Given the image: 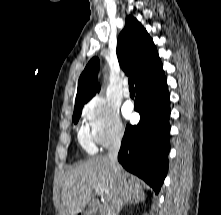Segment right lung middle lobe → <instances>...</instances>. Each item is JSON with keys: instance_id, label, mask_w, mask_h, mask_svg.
Returning <instances> with one entry per match:
<instances>
[{"instance_id": "1", "label": "right lung middle lobe", "mask_w": 221, "mask_h": 215, "mask_svg": "<svg viewBox=\"0 0 221 215\" xmlns=\"http://www.w3.org/2000/svg\"><path fill=\"white\" fill-rule=\"evenodd\" d=\"M84 104L75 105L74 114H73V122L76 124L81 116V110Z\"/></svg>"}]
</instances>
